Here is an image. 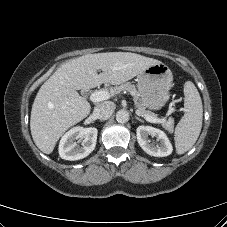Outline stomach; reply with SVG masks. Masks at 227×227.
Wrapping results in <instances>:
<instances>
[{"label":"stomach","instance_id":"obj_1","mask_svg":"<svg viewBox=\"0 0 227 227\" xmlns=\"http://www.w3.org/2000/svg\"><path fill=\"white\" fill-rule=\"evenodd\" d=\"M173 75L164 63L147 67L138 75V94L141 104L150 110H160L169 100Z\"/></svg>","mask_w":227,"mask_h":227}]
</instances>
